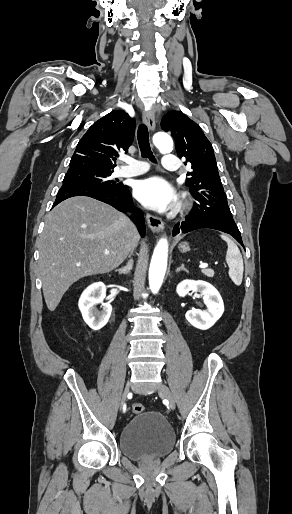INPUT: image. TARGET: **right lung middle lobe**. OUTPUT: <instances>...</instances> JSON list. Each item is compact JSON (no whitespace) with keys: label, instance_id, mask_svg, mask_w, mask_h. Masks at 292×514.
Instances as JSON below:
<instances>
[{"label":"right lung middle lobe","instance_id":"1","mask_svg":"<svg viewBox=\"0 0 292 514\" xmlns=\"http://www.w3.org/2000/svg\"><path fill=\"white\" fill-rule=\"evenodd\" d=\"M112 172L113 171L67 172L63 179V185L84 184V185H93V186L104 187V188L122 187L123 184L116 183V181L110 179Z\"/></svg>","mask_w":292,"mask_h":514}]
</instances>
